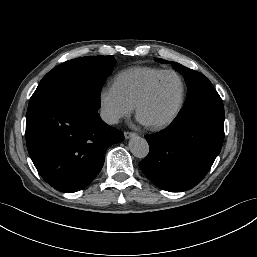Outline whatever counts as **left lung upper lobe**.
I'll return each instance as SVG.
<instances>
[{
  "label": "left lung upper lobe",
  "instance_id": "left-lung-upper-lobe-1",
  "mask_svg": "<svg viewBox=\"0 0 257 257\" xmlns=\"http://www.w3.org/2000/svg\"><path fill=\"white\" fill-rule=\"evenodd\" d=\"M156 61L169 63V61L160 58L156 59ZM171 64L176 71L184 75L188 87V98L182 112L190 111L207 102L221 99L207 77L179 63L171 62Z\"/></svg>",
  "mask_w": 257,
  "mask_h": 257
}]
</instances>
